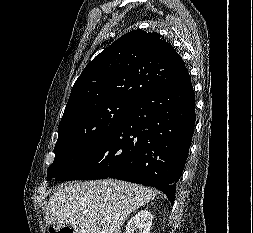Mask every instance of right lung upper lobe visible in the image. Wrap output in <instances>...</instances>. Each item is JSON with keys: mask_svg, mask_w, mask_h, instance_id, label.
Listing matches in <instances>:
<instances>
[{"mask_svg": "<svg viewBox=\"0 0 253 233\" xmlns=\"http://www.w3.org/2000/svg\"><path fill=\"white\" fill-rule=\"evenodd\" d=\"M185 67L170 43L137 29L97 55L76 80L63 116L109 99L136 100L157 82Z\"/></svg>", "mask_w": 253, "mask_h": 233, "instance_id": "right-lung-upper-lobe-1", "label": "right lung upper lobe"}]
</instances>
